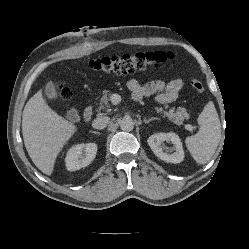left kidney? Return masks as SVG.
<instances>
[{"label":"left kidney","mask_w":249,"mask_h":249,"mask_svg":"<svg viewBox=\"0 0 249 249\" xmlns=\"http://www.w3.org/2000/svg\"><path fill=\"white\" fill-rule=\"evenodd\" d=\"M164 141L174 145V153L167 154L163 151L161 144ZM147 142L153 153L163 161L168 163H180L184 159V150L181 139L173 132L153 134L148 138Z\"/></svg>","instance_id":"obj_1"}]
</instances>
